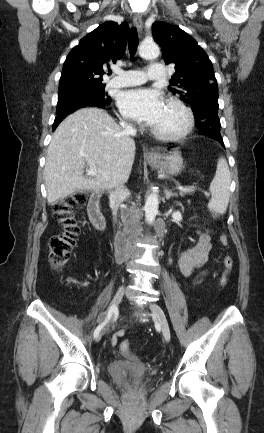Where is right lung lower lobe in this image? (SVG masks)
Returning a JSON list of instances; mask_svg holds the SVG:
<instances>
[{
  "label": "right lung lower lobe",
  "mask_w": 264,
  "mask_h": 433,
  "mask_svg": "<svg viewBox=\"0 0 264 433\" xmlns=\"http://www.w3.org/2000/svg\"><path fill=\"white\" fill-rule=\"evenodd\" d=\"M108 105H109V103H105V102H102V101L97 100V99H88V100L75 102L72 106L69 107L68 112H66L65 114H63L61 116H57L55 118V121L53 124V130H55L57 128V126L63 120V118H65L68 114L74 112L75 110H77L79 108L98 107V108L106 109Z\"/></svg>",
  "instance_id": "1"
}]
</instances>
